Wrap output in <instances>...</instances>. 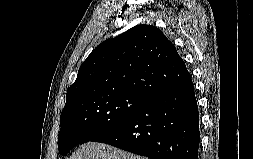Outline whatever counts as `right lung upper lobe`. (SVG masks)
Here are the masks:
<instances>
[{
  "instance_id": "cb5924a9",
  "label": "right lung upper lobe",
  "mask_w": 253,
  "mask_h": 159,
  "mask_svg": "<svg viewBox=\"0 0 253 159\" xmlns=\"http://www.w3.org/2000/svg\"><path fill=\"white\" fill-rule=\"evenodd\" d=\"M189 77L184 61L161 30L137 25L90 53L67 91L66 104L96 93H136L149 98Z\"/></svg>"
}]
</instances>
